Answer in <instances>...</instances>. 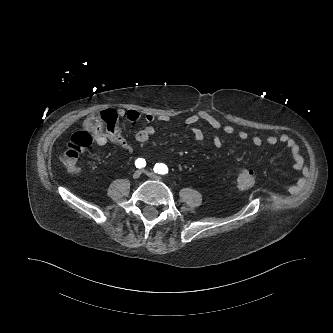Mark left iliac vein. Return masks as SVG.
<instances>
[{"label": "left iliac vein", "mask_w": 333, "mask_h": 333, "mask_svg": "<svg viewBox=\"0 0 333 333\" xmlns=\"http://www.w3.org/2000/svg\"><path fill=\"white\" fill-rule=\"evenodd\" d=\"M143 172H144L149 178H151V179H153V180L162 181V178H161L159 175H157V174H155V173H153V172H149V171H146V170H144Z\"/></svg>", "instance_id": "1"}]
</instances>
